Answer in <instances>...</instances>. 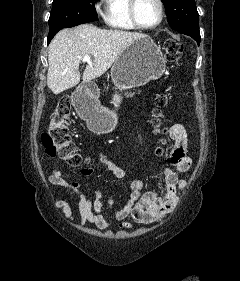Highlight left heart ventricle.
<instances>
[{
    "label": "left heart ventricle",
    "mask_w": 240,
    "mask_h": 281,
    "mask_svg": "<svg viewBox=\"0 0 240 281\" xmlns=\"http://www.w3.org/2000/svg\"><path fill=\"white\" fill-rule=\"evenodd\" d=\"M137 16L143 25L155 24L160 16L159 5L156 0H138Z\"/></svg>",
    "instance_id": "left-heart-ventricle-1"
}]
</instances>
